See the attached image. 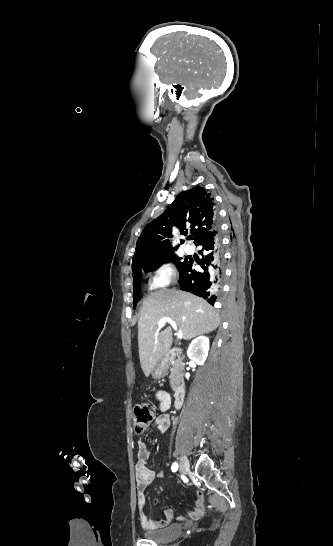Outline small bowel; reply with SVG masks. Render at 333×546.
Instances as JSON below:
<instances>
[{
	"mask_svg": "<svg viewBox=\"0 0 333 546\" xmlns=\"http://www.w3.org/2000/svg\"><path fill=\"white\" fill-rule=\"evenodd\" d=\"M156 399L159 402L160 414L155 420V425L161 432H165L170 426V416L166 413L171 405L170 395L159 390L156 393ZM137 463L135 466L136 484H137V503H138V515L140 523L144 529H159L168 525L173 519V510L166 509L163 513V517L160 519H148L145 511V491L154 482L155 473L147 467V461L149 459V450L147 445L143 441L138 442ZM155 503H159L160 499L155 498ZM204 511V497L201 492L198 493L195 501V506L189 513L191 519H198L202 516ZM180 518H183L182 516Z\"/></svg>",
	"mask_w": 333,
	"mask_h": 546,
	"instance_id": "obj_1",
	"label": "small bowel"
}]
</instances>
